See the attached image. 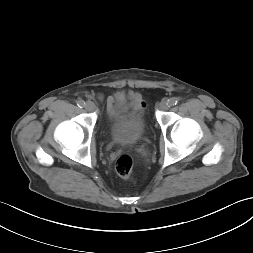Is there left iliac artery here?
Here are the masks:
<instances>
[{
  "label": "left iliac artery",
  "mask_w": 253,
  "mask_h": 253,
  "mask_svg": "<svg viewBox=\"0 0 253 253\" xmlns=\"http://www.w3.org/2000/svg\"><path fill=\"white\" fill-rule=\"evenodd\" d=\"M171 106H174L179 103V98L173 97L168 100Z\"/></svg>",
  "instance_id": "1"
}]
</instances>
